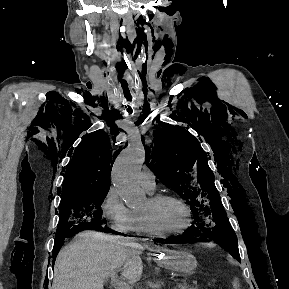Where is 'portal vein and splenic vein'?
Returning <instances> with one entry per match:
<instances>
[{"label":"portal vein and splenic vein","instance_id":"18ae733b","mask_svg":"<svg viewBox=\"0 0 289 289\" xmlns=\"http://www.w3.org/2000/svg\"><path fill=\"white\" fill-rule=\"evenodd\" d=\"M111 277V282L112 285L114 286L115 289H132L128 284H126L125 282L119 280V278L117 277V273L116 271H113L110 274ZM180 288L184 289L186 287V285H180Z\"/></svg>","mask_w":289,"mask_h":289}]
</instances>
